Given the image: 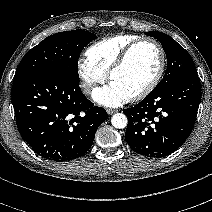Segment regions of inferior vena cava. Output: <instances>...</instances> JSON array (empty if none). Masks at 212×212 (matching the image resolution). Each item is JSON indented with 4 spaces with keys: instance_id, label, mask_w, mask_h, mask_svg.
<instances>
[{
    "instance_id": "obj_1",
    "label": "inferior vena cava",
    "mask_w": 212,
    "mask_h": 212,
    "mask_svg": "<svg viewBox=\"0 0 212 212\" xmlns=\"http://www.w3.org/2000/svg\"><path fill=\"white\" fill-rule=\"evenodd\" d=\"M82 87H83L85 93H89L92 88V86L90 84H83Z\"/></svg>"
}]
</instances>
